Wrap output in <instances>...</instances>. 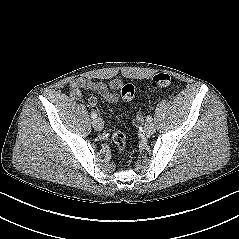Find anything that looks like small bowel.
Masks as SVG:
<instances>
[{
	"label": "small bowel",
	"mask_w": 239,
	"mask_h": 239,
	"mask_svg": "<svg viewBox=\"0 0 239 239\" xmlns=\"http://www.w3.org/2000/svg\"><path fill=\"white\" fill-rule=\"evenodd\" d=\"M122 86V82L118 79L110 81L108 84L103 82H95L87 78H76L70 83V94L73 98L79 99L82 96V92L85 90L93 91L103 97L109 103H115L119 100V95L115 92ZM98 99L96 96H90L88 98V104L90 107H96ZM136 123L141 121V116H137Z\"/></svg>",
	"instance_id": "obj_1"
}]
</instances>
